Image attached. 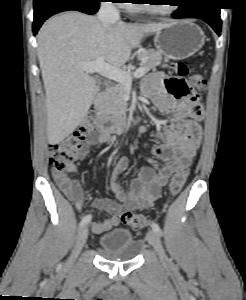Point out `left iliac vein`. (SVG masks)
Masks as SVG:
<instances>
[{
    "label": "left iliac vein",
    "mask_w": 246,
    "mask_h": 300,
    "mask_svg": "<svg viewBox=\"0 0 246 300\" xmlns=\"http://www.w3.org/2000/svg\"><path fill=\"white\" fill-rule=\"evenodd\" d=\"M147 240L155 249L161 262L164 265L171 266V262L169 261L167 255L164 252L158 233L153 229H149L147 232Z\"/></svg>",
    "instance_id": "obj_1"
}]
</instances>
